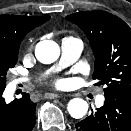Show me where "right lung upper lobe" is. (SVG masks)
<instances>
[{"label": "right lung upper lobe", "mask_w": 131, "mask_h": 131, "mask_svg": "<svg viewBox=\"0 0 131 131\" xmlns=\"http://www.w3.org/2000/svg\"><path fill=\"white\" fill-rule=\"evenodd\" d=\"M50 16H0V44L16 45L28 32L42 25Z\"/></svg>", "instance_id": "cb5924a9"}]
</instances>
